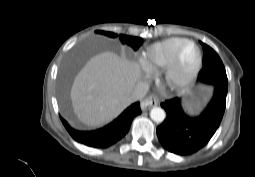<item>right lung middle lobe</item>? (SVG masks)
<instances>
[{
	"label": "right lung middle lobe",
	"instance_id": "dd1d6c3e",
	"mask_svg": "<svg viewBox=\"0 0 255 177\" xmlns=\"http://www.w3.org/2000/svg\"><path fill=\"white\" fill-rule=\"evenodd\" d=\"M98 33L111 37V38H115L117 35L112 33V32H106V31H98ZM120 40L122 41V43H125L129 46H131L134 50H137L140 45H142L143 40L139 37H132V36H127V35H120L119 36ZM61 98H62V102L65 103L66 101V90L63 87L62 91H61Z\"/></svg>",
	"mask_w": 255,
	"mask_h": 177
}]
</instances>
